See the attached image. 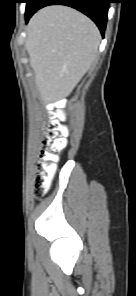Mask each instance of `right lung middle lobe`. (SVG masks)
Listing matches in <instances>:
<instances>
[{"mask_svg": "<svg viewBox=\"0 0 136 296\" xmlns=\"http://www.w3.org/2000/svg\"><path fill=\"white\" fill-rule=\"evenodd\" d=\"M33 0H27L26 1V3H27V6H26V13H28L31 9H32V7H31V2H32ZM25 13V14H26Z\"/></svg>", "mask_w": 136, "mask_h": 296, "instance_id": "dd1d6c3e", "label": "right lung middle lobe"}]
</instances>
